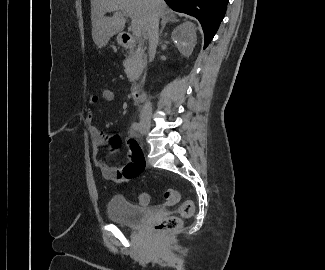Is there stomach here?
<instances>
[{
    "instance_id": "1",
    "label": "stomach",
    "mask_w": 325,
    "mask_h": 270,
    "mask_svg": "<svg viewBox=\"0 0 325 270\" xmlns=\"http://www.w3.org/2000/svg\"><path fill=\"white\" fill-rule=\"evenodd\" d=\"M117 40H118V42H120V41H121V39H120V36H119V37H117Z\"/></svg>"
}]
</instances>
